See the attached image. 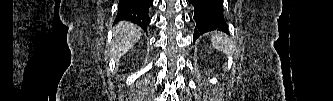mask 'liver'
<instances>
[{
  "mask_svg": "<svg viewBox=\"0 0 333 101\" xmlns=\"http://www.w3.org/2000/svg\"><path fill=\"white\" fill-rule=\"evenodd\" d=\"M114 39L111 46L112 56L120 58L126 54L141 38L140 29L133 23L121 21L113 29Z\"/></svg>",
  "mask_w": 333,
  "mask_h": 101,
  "instance_id": "obj_1",
  "label": "liver"
}]
</instances>
